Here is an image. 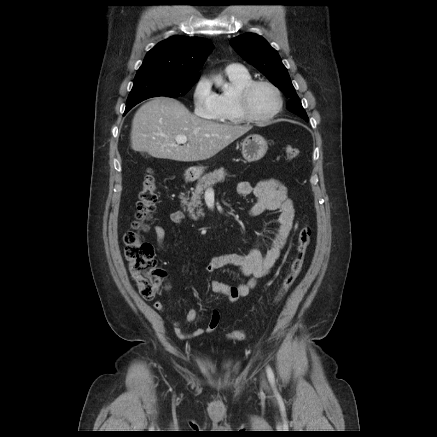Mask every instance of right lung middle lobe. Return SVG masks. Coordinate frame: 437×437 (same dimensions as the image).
I'll list each match as a JSON object with an SVG mask.
<instances>
[{"label": "right lung middle lobe", "instance_id": "1", "mask_svg": "<svg viewBox=\"0 0 437 437\" xmlns=\"http://www.w3.org/2000/svg\"><path fill=\"white\" fill-rule=\"evenodd\" d=\"M199 77H180L153 69L137 72L133 88L126 102V114L139 102L157 96L177 98L184 96Z\"/></svg>", "mask_w": 437, "mask_h": 437}]
</instances>
